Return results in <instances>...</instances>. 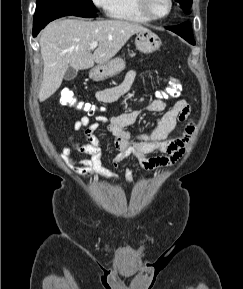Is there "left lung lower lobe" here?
Segmentation results:
<instances>
[{"label": "left lung lower lobe", "mask_w": 243, "mask_h": 289, "mask_svg": "<svg viewBox=\"0 0 243 289\" xmlns=\"http://www.w3.org/2000/svg\"><path fill=\"white\" fill-rule=\"evenodd\" d=\"M166 29L175 32L176 34L184 38L186 41H188L190 44L195 45L191 24L189 22H185L177 26L166 27Z\"/></svg>", "instance_id": "0a47b994"}]
</instances>
